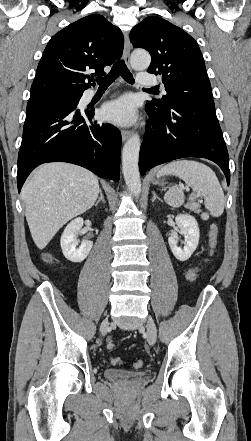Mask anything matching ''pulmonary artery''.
I'll return each instance as SVG.
<instances>
[{
	"mask_svg": "<svg viewBox=\"0 0 251 441\" xmlns=\"http://www.w3.org/2000/svg\"><path fill=\"white\" fill-rule=\"evenodd\" d=\"M137 81L140 85L144 86H155L158 84V81L151 75L147 73H139ZM162 91L165 93V89L162 88ZM95 95V91H89L86 95L87 99L93 98Z\"/></svg>",
	"mask_w": 251,
	"mask_h": 441,
	"instance_id": "e3ab8cb5",
	"label": "pulmonary artery"
}]
</instances>
